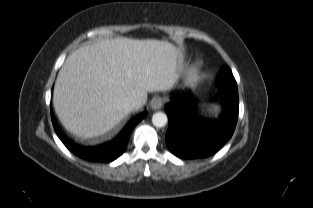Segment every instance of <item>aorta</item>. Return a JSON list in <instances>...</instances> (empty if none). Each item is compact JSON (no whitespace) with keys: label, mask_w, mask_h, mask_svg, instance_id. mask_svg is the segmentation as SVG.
Here are the masks:
<instances>
[{"label":"aorta","mask_w":313,"mask_h":208,"mask_svg":"<svg viewBox=\"0 0 313 208\" xmlns=\"http://www.w3.org/2000/svg\"><path fill=\"white\" fill-rule=\"evenodd\" d=\"M168 122V117L163 112H157L152 116V123L156 127H164Z\"/></svg>","instance_id":"1"}]
</instances>
